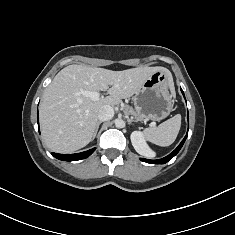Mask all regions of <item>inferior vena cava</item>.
Segmentation results:
<instances>
[{
    "instance_id": "1",
    "label": "inferior vena cava",
    "mask_w": 235,
    "mask_h": 235,
    "mask_svg": "<svg viewBox=\"0 0 235 235\" xmlns=\"http://www.w3.org/2000/svg\"><path fill=\"white\" fill-rule=\"evenodd\" d=\"M113 116H114V109L108 105L101 107L98 112V119L101 122L110 120L112 119Z\"/></svg>"
}]
</instances>
